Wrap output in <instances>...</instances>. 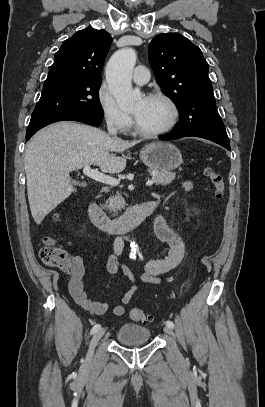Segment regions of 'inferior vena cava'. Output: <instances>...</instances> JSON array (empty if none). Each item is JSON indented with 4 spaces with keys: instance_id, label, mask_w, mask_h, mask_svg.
I'll return each instance as SVG.
<instances>
[{
    "instance_id": "obj_1",
    "label": "inferior vena cava",
    "mask_w": 265,
    "mask_h": 407,
    "mask_svg": "<svg viewBox=\"0 0 265 407\" xmlns=\"http://www.w3.org/2000/svg\"><path fill=\"white\" fill-rule=\"evenodd\" d=\"M107 129H108V133H109L110 135H112V136H114V137L117 135V129H116V127L114 126L112 120H109V121L107 122Z\"/></svg>"
}]
</instances>
